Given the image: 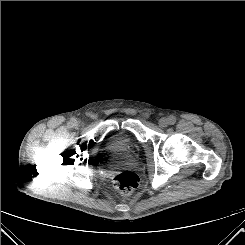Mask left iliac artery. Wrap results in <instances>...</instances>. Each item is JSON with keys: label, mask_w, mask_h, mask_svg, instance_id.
<instances>
[{"label": "left iliac artery", "mask_w": 245, "mask_h": 245, "mask_svg": "<svg viewBox=\"0 0 245 245\" xmlns=\"http://www.w3.org/2000/svg\"><path fill=\"white\" fill-rule=\"evenodd\" d=\"M169 124L174 125L176 123V118L174 116H170L168 118Z\"/></svg>", "instance_id": "left-iliac-artery-1"}]
</instances>
